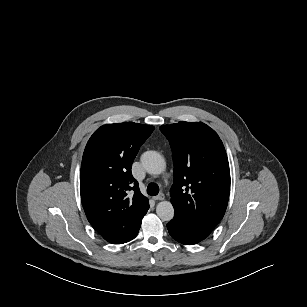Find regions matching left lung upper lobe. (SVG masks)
I'll return each mask as SVG.
<instances>
[{"label":"left lung upper lobe","instance_id":"obj_1","mask_svg":"<svg viewBox=\"0 0 307 307\" xmlns=\"http://www.w3.org/2000/svg\"><path fill=\"white\" fill-rule=\"evenodd\" d=\"M173 152L174 183L170 190L175 216L208 236L225 214L230 193L226 151L217 133L204 123L160 127Z\"/></svg>","mask_w":307,"mask_h":307}]
</instances>
